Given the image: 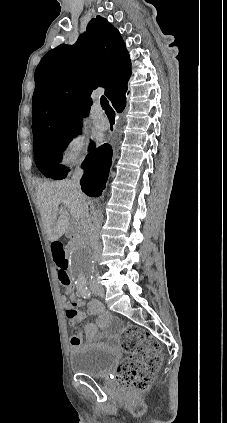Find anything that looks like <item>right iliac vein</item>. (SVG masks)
I'll list each match as a JSON object with an SVG mask.
<instances>
[{"label":"right iliac vein","instance_id":"right-iliac-vein-1","mask_svg":"<svg viewBox=\"0 0 227 423\" xmlns=\"http://www.w3.org/2000/svg\"><path fill=\"white\" fill-rule=\"evenodd\" d=\"M97 295H99V296H101V297H104V295H105L104 290H103V289H98V290H97Z\"/></svg>","mask_w":227,"mask_h":423}]
</instances>
